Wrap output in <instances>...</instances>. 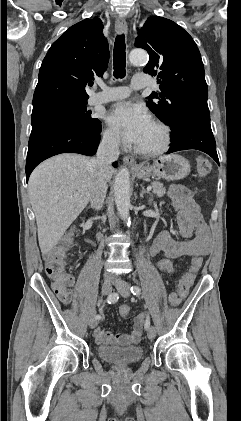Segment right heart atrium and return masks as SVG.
Listing matches in <instances>:
<instances>
[{
	"label": "right heart atrium",
	"instance_id": "d8ad5b80",
	"mask_svg": "<svg viewBox=\"0 0 241 421\" xmlns=\"http://www.w3.org/2000/svg\"><path fill=\"white\" fill-rule=\"evenodd\" d=\"M103 142L112 149H118L121 146V139L112 128H106L104 130Z\"/></svg>",
	"mask_w": 241,
	"mask_h": 421
}]
</instances>
